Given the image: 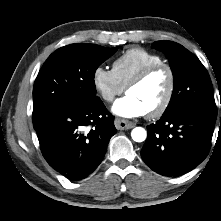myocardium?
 Segmentation results:
<instances>
[{
	"mask_svg": "<svg viewBox=\"0 0 221 221\" xmlns=\"http://www.w3.org/2000/svg\"><path fill=\"white\" fill-rule=\"evenodd\" d=\"M161 69L166 70L168 73L169 77L168 88L161 103L156 108H154L153 110L147 113V115L151 118H157L160 117L162 114H164V112L168 109L172 101L176 86V77L173 68L169 64H166L164 62L150 65L144 68L143 70H141L137 75H135L126 85V91H128L132 87L141 84L153 73Z\"/></svg>",
	"mask_w": 221,
	"mask_h": 221,
	"instance_id": "obj_1",
	"label": "myocardium"
}]
</instances>
